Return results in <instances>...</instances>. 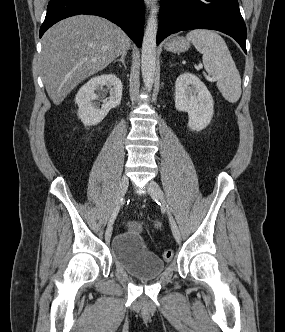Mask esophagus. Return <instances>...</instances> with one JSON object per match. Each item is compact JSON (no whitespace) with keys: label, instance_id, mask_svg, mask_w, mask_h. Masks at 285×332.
Returning a JSON list of instances; mask_svg holds the SVG:
<instances>
[{"label":"esophagus","instance_id":"esophagus-1","mask_svg":"<svg viewBox=\"0 0 285 332\" xmlns=\"http://www.w3.org/2000/svg\"><path fill=\"white\" fill-rule=\"evenodd\" d=\"M145 1V4L147 7H150L151 4H152V0H144Z\"/></svg>","mask_w":285,"mask_h":332}]
</instances>
